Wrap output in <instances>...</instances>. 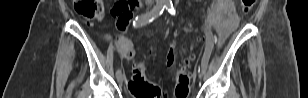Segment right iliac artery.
<instances>
[{
  "instance_id": "obj_1",
  "label": "right iliac artery",
  "mask_w": 308,
  "mask_h": 98,
  "mask_svg": "<svg viewBox=\"0 0 308 98\" xmlns=\"http://www.w3.org/2000/svg\"><path fill=\"white\" fill-rule=\"evenodd\" d=\"M166 7V4L163 2H159L152 11L147 12L145 14H142L140 16H137L135 21L133 22L134 27H142L150 22H152L154 19H156L158 16H160L164 9ZM121 72L120 69L117 70L116 76Z\"/></svg>"
}]
</instances>
